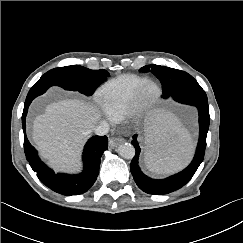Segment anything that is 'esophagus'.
<instances>
[{
	"label": "esophagus",
	"instance_id": "34e87169",
	"mask_svg": "<svg viewBox=\"0 0 243 243\" xmlns=\"http://www.w3.org/2000/svg\"><path fill=\"white\" fill-rule=\"evenodd\" d=\"M122 142H123V139L122 138L112 137L109 140V146L111 148H116Z\"/></svg>",
	"mask_w": 243,
	"mask_h": 243
}]
</instances>
